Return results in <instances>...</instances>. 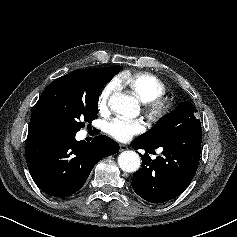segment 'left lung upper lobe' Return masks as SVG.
<instances>
[{
	"label": "left lung upper lobe",
	"mask_w": 237,
	"mask_h": 237,
	"mask_svg": "<svg viewBox=\"0 0 237 237\" xmlns=\"http://www.w3.org/2000/svg\"><path fill=\"white\" fill-rule=\"evenodd\" d=\"M196 112L192 103L182 102L174 112L165 115L151 130L138 138L154 147L174 140L199 120L195 117Z\"/></svg>",
	"instance_id": "1"
}]
</instances>
